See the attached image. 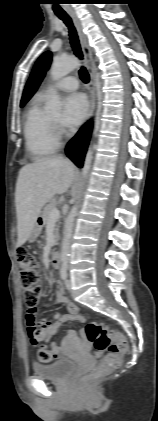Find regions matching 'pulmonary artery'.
Instances as JSON below:
<instances>
[{"instance_id": "obj_1", "label": "pulmonary artery", "mask_w": 158, "mask_h": 421, "mask_svg": "<svg viewBox=\"0 0 158 421\" xmlns=\"http://www.w3.org/2000/svg\"><path fill=\"white\" fill-rule=\"evenodd\" d=\"M78 87V81L73 76H67L59 80L54 86V89L63 90V91H73L76 90ZM51 87H47L43 89L41 92L42 95L46 96L50 93Z\"/></svg>"}]
</instances>
